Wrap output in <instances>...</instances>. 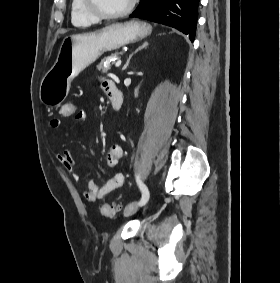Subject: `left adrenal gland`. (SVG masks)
I'll return each instance as SVG.
<instances>
[{
	"mask_svg": "<svg viewBox=\"0 0 280 283\" xmlns=\"http://www.w3.org/2000/svg\"><path fill=\"white\" fill-rule=\"evenodd\" d=\"M148 45H149L148 42H144L134 53H132V54L129 56V58L127 59L125 65H124L123 68H122V70H126V69H127L128 65H129V63H130V60H131L132 56H133L135 53H137L138 51H140V50H142V49L148 47Z\"/></svg>",
	"mask_w": 280,
	"mask_h": 283,
	"instance_id": "1",
	"label": "left adrenal gland"
}]
</instances>
